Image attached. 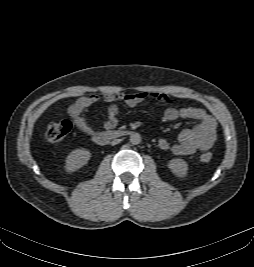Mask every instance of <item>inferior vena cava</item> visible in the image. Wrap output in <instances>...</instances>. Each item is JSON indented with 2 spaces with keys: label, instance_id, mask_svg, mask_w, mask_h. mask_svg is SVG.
Returning <instances> with one entry per match:
<instances>
[{
  "label": "inferior vena cava",
  "instance_id": "inferior-vena-cava-1",
  "mask_svg": "<svg viewBox=\"0 0 254 267\" xmlns=\"http://www.w3.org/2000/svg\"><path fill=\"white\" fill-rule=\"evenodd\" d=\"M119 142H120L119 139H115V140H113V141L111 142V144H112V145H116V144H118Z\"/></svg>",
  "mask_w": 254,
  "mask_h": 267
}]
</instances>
